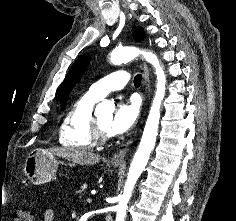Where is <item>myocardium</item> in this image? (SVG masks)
I'll list each match as a JSON object with an SVG mask.
<instances>
[{"mask_svg":"<svg viewBox=\"0 0 236 221\" xmlns=\"http://www.w3.org/2000/svg\"><path fill=\"white\" fill-rule=\"evenodd\" d=\"M91 135L95 143H104L110 138L109 133L101 128L95 116H92L91 119Z\"/></svg>","mask_w":236,"mask_h":221,"instance_id":"f54148a6","label":"myocardium"}]
</instances>
